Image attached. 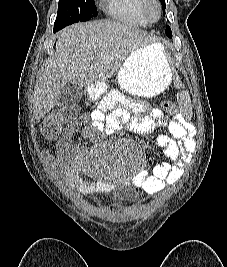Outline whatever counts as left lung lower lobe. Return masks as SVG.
<instances>
[{"label": "left lung lower lobe", "instance_id": "obj_1", "mask_svg": "<svg viewBox=\"0 0 227 267\" xmlns=\"http://www.w3.org/2000/svg\"><path fill=\"white\" fill-rule=\"evenodd\" d=\"M166 35H167L169 38H172V32H171L170 27H168V28L166 29Z\"/></svg>", "mask_w": 227, "mask_h": 267}]
</instances>
